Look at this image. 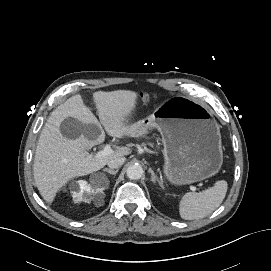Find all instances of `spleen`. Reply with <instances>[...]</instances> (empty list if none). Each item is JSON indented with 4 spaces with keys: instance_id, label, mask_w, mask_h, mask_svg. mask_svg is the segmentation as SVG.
<instances>
[{
    "instance_id": "3e777b00",
    "label": "spleen",
    "mask_w": 271,
    "mask_h": 271,
    "mask_svg": "<svg viewBox=\"0 0 271 271\" xmlns=\"http://www.w3.org/2000/svg\"><path fill=\"white\" fill-rule=\"evenodd\" d=\"M227 188V182L220 180L208 190L200 193L188 192L184 194L179 203V214L181 218L185 220H195L211 214L223 202Z\"/></svg>"
}]
</instances>
